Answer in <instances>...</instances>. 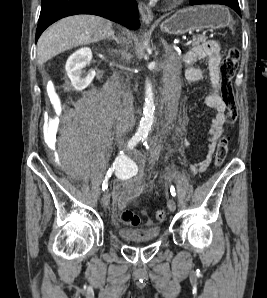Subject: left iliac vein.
Wrapping results in <instances>:
<instances>
[{"mask_svg":"<svg viewBox=\"0 0 267 298\" xmlns=\"http://www.w3.org/2000/svg\"><path fill=\"white\" fill-rule=\"evenodd\" d=\"M167 206L171 212H174L176 210V202L173 198H170L167 202Z\"/></svg>","mask_w":267,"mask_h":298,"instance_id":"left-iliac-vein-1","label":"left iliac vein"}]
</instances>
